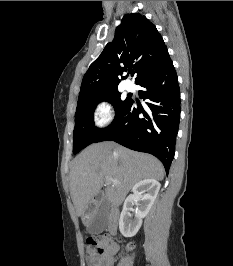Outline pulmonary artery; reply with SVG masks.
Segmentation results:
<instances>
[{
  "mask_svg": "<svg viewBox=\"0 0 233 266\" xmlns=\"http://www.w3.org/2000/svg\"><path fill=\"white\" fill-rule=\"evenodd\" d=\"M125 88L128 91H132L134 89V84L131 81H126L125 82Z\"/></svg>",
  "mask_w": 233,
  "mask_h": 266,
  "instance_id": "pulmonary-artery-1",
  "label": "pulmonary artery"
}]
</instances>
